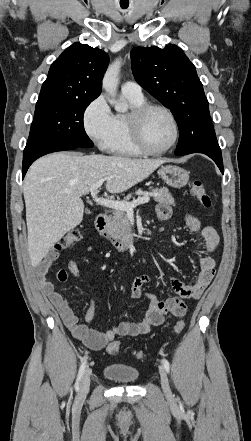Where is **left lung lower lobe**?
I'll use <instances>...</instances> for the list:
<instances>
[{
  "mask_svg": "<svg viewBox=\"0 0 251 441\" xmlns=\"http://www.w3.org/2000/svg\"><path fill=\"white\" fill-rule=\"evenodd\" d=\"M179 142L174 152L176 156L203 153L209 156L223 173L220 147L217 143L211 119H199L179 130Z\"/></svg>",
  "mask_w": 251,
  "mask_h": 441,
  "instance_id": "1",
  "label": "left lung lower lobe"
}]
</instances>
